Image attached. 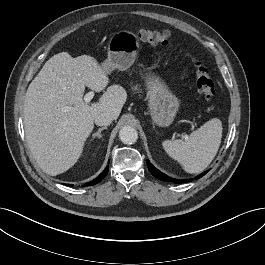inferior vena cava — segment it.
Segmentation results:
<instances>
[{
	"label": "inferior vena cava",
	"mask_w": 265,
	"mask_h": 265,
	"mask_svg": "<svg viewBox=\"0 0 265 265\" xmlns=\"http://www.w3.org/2000/svg\"><path fill=\"white\" fill-rule=\"evenodd\" d=\"M113 120L114 116L109 112H101L97 114L94 118V122L98 126L110 125Z\"/></svg>",
	"instance_id": "602c4592"
}]
</instances>
